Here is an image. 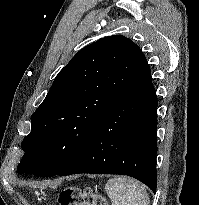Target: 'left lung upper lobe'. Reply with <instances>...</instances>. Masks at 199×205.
<instances>
[{
    "label": "left lung upper lobe",
    "instance_id": "obj_1",
    "mask_svg": "<svg viewBox=\"0 0 199 205\" xmlns=\"http://www.w3.org/2000/svg\"><path fill=\"white\" fill-rule=\"evenodd\" d=\"M130 39L113 35L81 49L56 76L31 116L19 174L55 176L81 153L100 121L129 90L142 58Z\"/></svg>",
    "mask_w": 199,
    "mask_h": 205
}]
</instances>
